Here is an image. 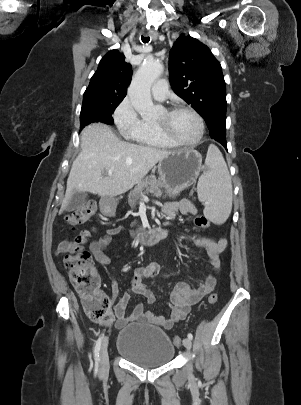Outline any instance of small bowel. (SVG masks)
Masks as SVG:
<instances>
[{
  "label": "small bowel",
  "mask_w": 301,
  "mask_h": 405,
  "mask_svg": "<svg viewBox=\"0 0 301 405\" xmlns=\"http://www.w3.org/2000/svg\"><path fill=\"white\" fill-rule=\"evenodd\" d=\"M165 215L173 219L180 213L182 215H196L197 209L192 202L182 199L165 206ZM121 227H115L105 235L90 243V250L95 259L102 265L110 264V258L105 253L112 241V236L120 233ZM193 244L206 251L211 267L210 273L194 287L184 282L176 283L169 294V307L171 313L169 317L159 316L145 309L144 305L137 304L130 314H127V307L132 293L143 295L149 304L156 301L154 292L149 289L145 279H154L159 274L157 264H149L144 267H137L134 270L131 287L122 295L119 294V286L115 279L111 281V301L115 303L114 310L116 316V327L122 328L132 322H148L158 325L163 329H171L177 322L183 320L189 313L191 307L207 296L216 285V273L221 266L220 254L227 247V240L224 238L213 240L207 237H197ZM72 246V242L63 241L58 247V253L66 252Z\"/></svg>",
  "instance_id": "small-bowel-1"
}]
</instances>
